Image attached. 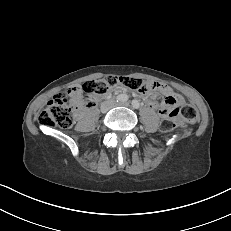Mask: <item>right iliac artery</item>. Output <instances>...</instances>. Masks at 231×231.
Wrapping results in <instances>:
<instances>
[{
    "label": "right iliac artery",
    "instance_id": "82829eb1",
    "mask_svg": "<svg viewBox=\"0 0 231 231\" xmlns=\"http://www.w3.org/2000/svg\"><path fill=\"white\" fill-rule=\"evenodd\" d=\"M127 100H128V96L126 94H120V95L117 96V102L118 101L124 102V101H127Z\"/></svg>",
    "mask_w": 231,
    "mask_h": 231
}]
</instances>
